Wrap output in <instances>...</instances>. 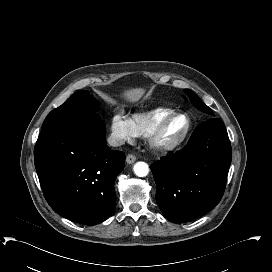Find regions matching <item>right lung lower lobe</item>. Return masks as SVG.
Instances as JSON below:
<instances>
[{
  "instance_id": "98d812e1",
  "label": "right lung lower lobe",
  "mask_w": 272,
  "mask_h": 272,
  "mask_svg": "<svg viewBox=\"0 0 272 272\" xmlns=\"http://www.w3.org/2000/svg\"><path fill=\"white\" fill-rule=\"evenodd\" d=\"M125 155L106 145L105 126L96 113L81 114L42 129L34 162L51 208L71 221L95 225L111 214L114 181Z\"/></svg>"
}]
</instances>
